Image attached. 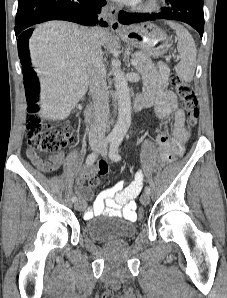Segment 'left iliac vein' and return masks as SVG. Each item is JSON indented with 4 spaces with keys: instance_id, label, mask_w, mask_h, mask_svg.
Returning <instances> with one entry per match:
<instances>
[{
    "instance_id": "left-iliac-vein-1",
    "label": "left iliac vein",
    "mask_w": 227,
    "mask_h": 298,
    "mask_svg": "<svg viewBox=\"0 0 227 298\" xmlns=\"http://www.w3.org/2000/svg\"><path fill=\"white\" fill-rule=\"evenodd\" d=\"M101 155L103 156V157H106V149L104 148V149H102L101 150ZM140 201H141V203L143 204V205H148L149 204V202H150V195L148 194V193H143L142 195H141V198H140Z\"/></svg>"
}]
</instances>
